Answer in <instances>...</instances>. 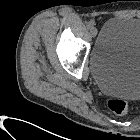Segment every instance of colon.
I'll use <instances>...</instances> for the list:
<instances>
[{
    "instance_id": "obj_1",
    "label": "colon",
    "mask_w": 140,
    "mask_h": 140,
    "mask_svg": "<svg viewBox=\"0 0 140 140\" xmlns=\"http://www.w3.org/2000/svg\"><path fill=\"white\" fill-rule=\"evenodd\" d=\"M108 107L112 112L119 115L127 114L129 110L128 103L120 98L109 99Z\"/></svg>"
}]
</instances>
